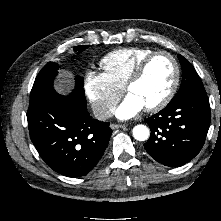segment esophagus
Masks as SVG:
<instances>
[{"label":"esophagus","instance_id":"34e87169","mask_svg":"<svg viewBox=\"0 0 221 221\" xmlns=\"http://www.w3.org/2000/svg\"><path fill=\"white\" fill-rule=\"evenodd\" d=\"M110 127H111V129H113V130H115V129H119V128H125L126 127V125H124V124H111L110 125Z\"/></svg>","mask_w":221,"mask_h":221}]
</instances>
